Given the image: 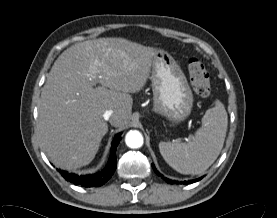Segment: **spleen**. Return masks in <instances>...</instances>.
Segmentation results:
<instances>
[{
    "mask_svg": "<svg viewBox=\"0 0 277 218\" xmlns=\"http://www.w3.org/2000/svg\"><path fill=\"white\" fill-rule=\"evenodd\" d=\"M228 116L220 101L202 117V126L189 142L159 143V150L169 166L181 174H201L219 156L226 137Z\"/></svg>",
    "mask_w": 277,
    "mask_h": 218,
    "instance_id": "1",
    "label": "spleen"
}]
</instances>
